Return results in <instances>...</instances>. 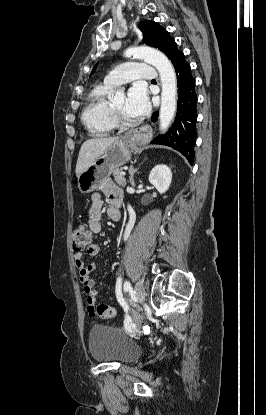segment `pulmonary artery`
<instances>
[{"instance_id": "1", "label": "pulmonary artery", "mask_w": 266, "mask_h": 415, "mask_svg": "<svg viewBox=\"0 0 266 415\" xmlns=\"http://www.w3.org/2000/svg\"><path fill=\"white\" fill-rule=\"evenodd\" d=\"M157 76L156 69L147 63L128 62L111 71L104 82L118 86L134 79L154 80Z\"/></svg>"}]
</instances>
